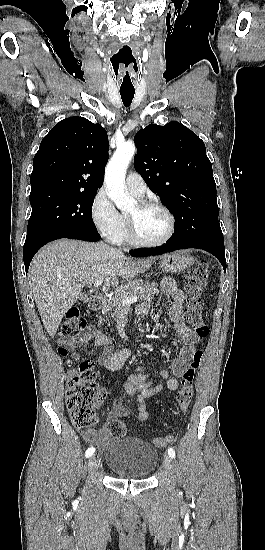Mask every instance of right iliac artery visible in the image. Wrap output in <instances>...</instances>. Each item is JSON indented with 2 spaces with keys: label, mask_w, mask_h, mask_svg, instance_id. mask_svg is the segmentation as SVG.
I'll use <instances>...</instances> for the list:
<instances>
[{
  "label": "right iliac artery",
  "mask_w": 265,
  "mask_h": 550,
  "mask_svg": "<svg viewBox=\"0 0 265 550\" xmlns=\"http://www.w3.org/2000/svg\"><path fill=\"white\" fill-rule=\"evenodd\" d=\"M95 452V448L94 447H89L86 452H85V456L86 458H89L93 455V453Z\"/></svg>",
  "instance_id": "1"
}]
</instances>
